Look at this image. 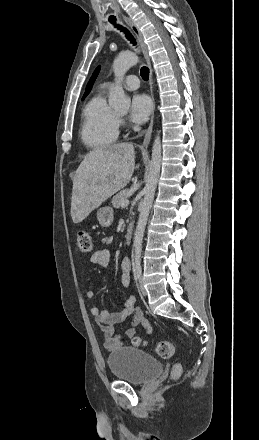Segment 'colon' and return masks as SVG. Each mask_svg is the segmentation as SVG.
I'll use <instances>...</instances> for the list:
<instances>
[{"label": "colon", "instance_id": "colon-1", "mask_svg": "<svg viewBox=\"0 0 259 440\" xmlns=\"http://www.w3.org/2000/svg\"><path fill=\"white\" fill-rule=\"evenodd\" d=\"M76 248L82 253H87L93 249V238L91 234L86 230L78 231L76 235ZM135 346L143 345V340L139 337L133 339ZM156 353L162 358H170L174 356L176 352V345L171 341H159L155 347ZM181 373V365L179 363L174 364L172 368V377H178Z\"/></svg>", "mask_w": 259, "mask_h": 440}]
</instances>
